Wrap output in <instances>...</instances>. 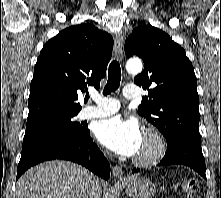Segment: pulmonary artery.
Wrapping results in <instances>:
<instances>
[{
  "label": "pulmonary artery",
  "instance_id": "1",
  "mask_svg": "<svg viewBox=\"0 0 221 198\" xmlns=\"http://www.w3.org/2000/svg\"><path fill=\"white\" fill-rule=\"evenodd\" d=\"M123 95L127 99H135L138 97V89L133 85L125 86ZM95 105H88L80 112L83 119L101 118L114 114L118 111L120 104L116 99L103 97L97 93L91 95Z\"/></svg>",
  "mask_w": 221,
  "mask_h": 198
}]
</instances>
